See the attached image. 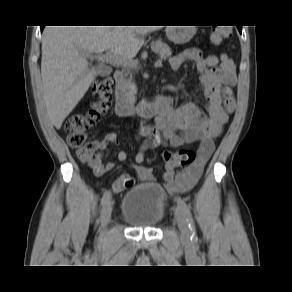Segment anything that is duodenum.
<instances>
[{
  "label": "duodenum",
  "instance_id": "410a0bca",
  "mask_svg": "<svg viewBox=\"0 0 292 292\" xmlns=\"http://www.w3.org/2000/svg\"><path fill=\"white\" fill-rule=\"evenodd\" d=\"M114 80L116 83L115 89V111L118 116H129L131 112L135 113L139 118L146 119L159 112H162L165 108L168 97H160L154 100L141 102L137 105H133L128 96L125 93L123 87L124 74L122 71H116L114 74Z\"/></svg>",
  "mask_w": 292,
  "mask_h": 292
}]
</instances>
